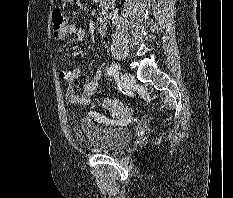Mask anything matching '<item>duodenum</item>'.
Wrapping results in <instances>:
<instances>
[{"label": "duodenum", "instance_id": "410a0bca", "mask_svg": "<svg viewBox=\"0 0 233 198\" xmlns=\"http://www.w3.org/2000/svg\"><path fill=\"white\" fill-rule=\"evenodd\" d=\"M114 4V0H101V7L102 11L106 12L108 9H110Z\"/></svg>", "mask_w": 233, "mask_h": 198}]
</instances>
